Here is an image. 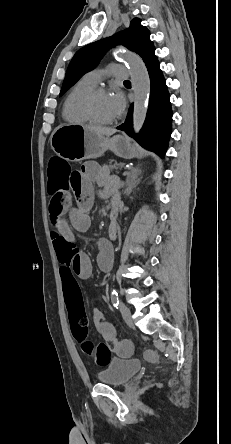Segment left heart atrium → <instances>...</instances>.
<instances>
[{"instance_id":"39dd6f15","label":"left heart atrium","mask_w":231,"mask_h":444,"mask_svg":"<svg viewBox=\"0 0 231 444\" xmlns=\"http://www.w3.org/2000/svg\"><path fill=\"white\" fill-rule=\"evenodd\" d=\"M112 106L116 114H120L124 108V99L119 92H113L109 94Z\"/></svg>"}]
</instances>
